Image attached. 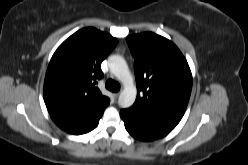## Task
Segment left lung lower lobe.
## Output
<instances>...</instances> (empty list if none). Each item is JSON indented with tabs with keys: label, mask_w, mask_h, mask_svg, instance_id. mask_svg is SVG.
<instances>
[{
	"label": "left lung lower lobe",
	"mask_w": 248,
	"mask_h": 165,
	"mask_svg": "<svg viewBox=\"0 0 248 165\" xmlns=\"http://www.w3.org/2000/svg\"><path fill=\"white\" fill-rule=\"evenodd\" d=\"M120 116L124 121L126 130L138 140H156L173 130L167 126L141 119L125 110L120 111Z\"/></svg>",
	"instance_id": "1"
}]
</instances>
